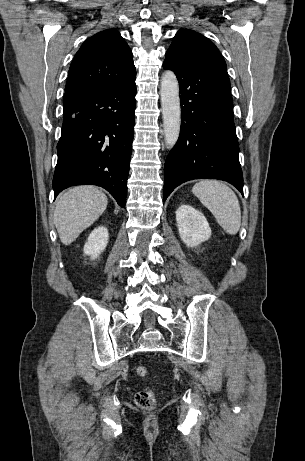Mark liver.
Here are the masks:
<instances>
[{
    "label": "liver",
    "instance_id": "obj_1",
    "mask_svg": "<svg viewBox=\"0 0 305 461\" xmlns=\"http://www.w3.org/2000/svg\"><path fill=\"white\" fill-rule=\"evenodd\" d=\"M107 207L106 195L93 186H76L62 194L54 211V224L63 244L69 245L91 226Z\"/></svg>",
    "mask_w": 305,
    "mask_h": 461
}]
</instances>
